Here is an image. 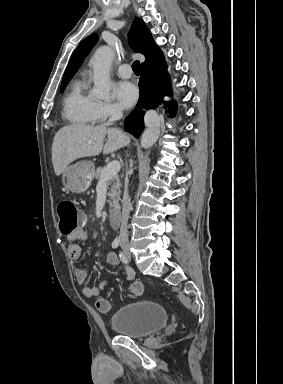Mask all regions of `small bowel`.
Wrapping results in <instances>:
<instances>
[{
  "label": "small bowel",
  "instance_id": "obj_1",
  "mask_svg": "<svg viewBox=\"0 0 283 384\" xmlns=\"http://www.w3.org/2000/svg\"><path fill=\"white\" fill-rule=\"evenodd\" d=\"M67 239L69 241L68 254L75 263H78L81 257L82 250L80 245L77 244L76 241H85L87 239V233L83 229V227H80L76 231L72 232L71 234H68ZM107 262L111 265H119L120 263L117 255L113 252L108 253ZM124 268H125L127 279L128 280L133 279L134 277L133 269L127 265H125ZM74 275L78 284L83 285V289H82L83 295L89 299L98 297L107 285V281L102 280L95 286H87L86 285L87 278H88L87 271L82 267H80L79 265L75 266ZM133 284H138L142 288V285L138 282H135Z\"/></svg>",
  "mask_w": 283,
  "mask_h": 384
}]
</instances>
